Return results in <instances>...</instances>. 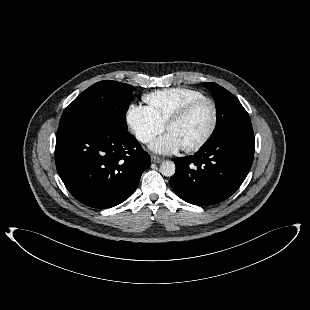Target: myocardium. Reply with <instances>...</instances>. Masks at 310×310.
Instances as JSON below:
<instances>
[{"mask_svg": "<svg viewBox=\"0 0 310 310\" xmlns=\"http://www.w3.org/2000/svg\"><path fill=\"white\" fill-rule=\"evenodd\" d=\"M202 103H208L211 106L212 110V118L210 126L206 132V134L203 136V138L197 142L194 145L183 147V150L185 152H196L201 150L203 147L207 145V143L211 140L218 122V108L216 103L208 98V97H201L194 100L189 101L186 103L182 108H180L165 124V129L168 130L171 126L179 123L183 119L186 118V116L198 105Z\"/></svg>", "mask_w": 310, "mask_h": 310, "instance_id": "1", "label": "myocardium"}]
</instances>
